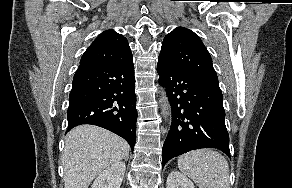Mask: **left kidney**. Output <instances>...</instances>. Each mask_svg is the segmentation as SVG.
Returning <instances> with one entry per match:
<instances>
[{
	"label": "left kidney",
	"instance_id": "1",
	"mask_svg": "<svg viewBox=\"0 0 292 188\" xmlns=\"http://www.w3.org/2000/svg\"><path fill=\"white\" fill-rule=\"evenodd\" d=\"M167 188H195L190 179L179 171H171L167 177Z\"/></svg>",
	"mask_w": 292,
	"mask_h": 188
}]
</instances>
